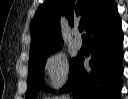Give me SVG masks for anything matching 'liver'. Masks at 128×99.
I'll list each match as a JSON object with an SVG mask.
<instances>
[{"label": "liver", "instance_id": "6515ba94", "mask_svg": "<svg viewBox=\"0 0 128 99\" xmlns=\"http://www.w3.org/2000/svg\"><path fill=\"white\" fill-rule=\"evenodd\" d=\"M56 99H64V98H56Z\"/></svg>", "mask_w": 128, "mask_h": 99}]
</instances>
